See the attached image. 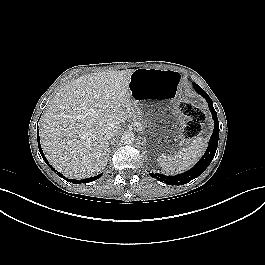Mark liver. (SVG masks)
Segmentation results:
<instances>
[{"instance_id":"6515ba94","label":"liver","mask_w":265,"mask_h":265,"mask_svg":"<svg viewBox=\"0 0 265 265\" xmlns=\"http://www.w3.org/2000/svg\"><path fill=\"white\" fill-rule=\"evenodd\" d=\"M134 70L81 76L50 100L40 129L42 149L54 168L66 177L83 179L101 172L110 153L105 124L118 131L133 116L130 76Z\"/></svg>"}]
</instances>
